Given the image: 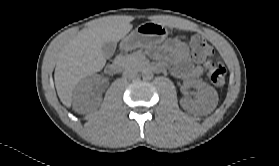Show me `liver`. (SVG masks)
Returning a JSON list of instances; mask_svg holds the SVG:
<instances>
[{
  "instance_id": "6515ba94",
  "label": "liver",
  "mask_w": 279,
  "mask_h": 166,
  "mask_svg": "<svg viewBox=\"0 0 279 166\" xmlns=\"http://www.w3.org/2000/svg\"><path fill=\"white\" fill-rule=\"evenodd\" d=\"M125 16H109L84 28L63 46L58 55L54 79L61 102L70 107L76 85L85 77L103 69L106 59L102 44L118 42L132 29Z\"/></svg>"
}]
</instances>
